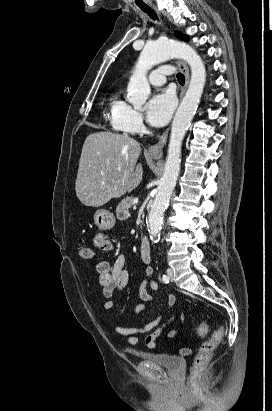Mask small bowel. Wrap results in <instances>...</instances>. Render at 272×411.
Returning <instances> with one entry per match:
<instances>
[{
	"mask_svg": "<svg viewBox=\"0 0 272 411\" xmlns=\"http://www.w3.org/2000/svg\"><path fill=\"white\" fill-rule=\"evenodd\" d=\"M93 244L96 248L105 251L113 252L115 250L114 243L109 240L103 233H97L93 236ZM96 271L98 274L99 284L103 287V296L107 299L104 304V309L107 313H111L114 308V303L111 300L116 293L123 290L129 283V273L126 269V257L124 255H119L115 262L111 264L106 260H99L96 263ZM153 267L148 264L145 266L144 273L145 278L140 284L139 295L140 298L145 303H150L154 300V297L149 292L150 289L153 292L163 294L158 284L152 280ZM167 304L172 310V314L169 318L164 319L162 314L158 315L152 321L138 326L133 327H124L118 324H112V329L123 336L126 342L132 346L139 347L141 345L138 336L147 334L144 343L145 345L155 350L157 348V340L164 333L166 328L172 324L177 318L180 323H184V313L179 315L175 310L176 298L172 293L165 295ZM139 304L135 308L137 314H142L146 311V304ZM181 332V329L169 330L166 334L167 337L172 338L178 336ZM182 353L188 352L187 349H183Z\"/></svg>",
	"mask_w": 272,
	"mask_h": 411,
	"instance_id": "obj_1",
	"label": "small bowel"
}]
</instances>
